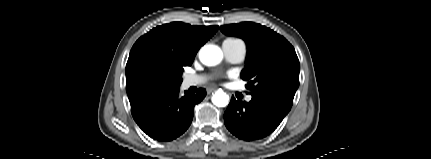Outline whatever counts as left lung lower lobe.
Wrapping results in <instances>:
<instances>
[{"label":"left lung lower lobe","mask_w":431,"mask_h":159,"mask_svg":"<svg viewBox=\"0 0 431 159\" xmlns=\"http://www.w3.org/2000/svg\"><path fill=\"white\" fill-rule=\"evenodd\" d=\"M273 97L252 96L250 102L232 97L224 113L227 129L239 139L253 141L272 133L291 109Z\"/></svg>","instance_id":"obj_1"}]
</instances>
